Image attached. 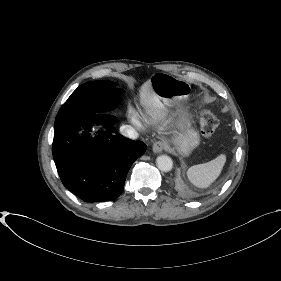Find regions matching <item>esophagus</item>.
<instances>
[{
	"label": "esophagus",
	"mask_w": 281,
	"mask_h": 281,
	"mask_svg": "<svg viewBox=\"0 0 281 281\" xmlns=\"http://www.w3.org/2000/svg\"><path fill=\"white\" fill-rule=\"evenodd\" d=\"M166 147L165 141H156L152 146V150L154 153H161Z\"/></svg>",
	"instance_id": "1"
}]
</instances>
